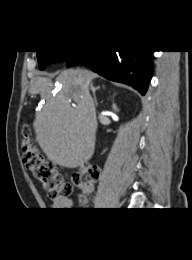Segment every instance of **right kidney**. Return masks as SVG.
Wrapping results in <instances>:
<instances>
[{"label": "right kidney", "instance_id": "right-kidney-1", "mask_svg": "<svg viewBox=\"0 0 192 260\" xmlns=\"http://www.w3.org/2000/svg\"><path fill=\"white\" fill-rule=\"evenodd\" d=\"M113 109L117 111V107L115 104H113Z\"/></svg>", "mask_w": 192, "mask_h": 260}]
</instances>
